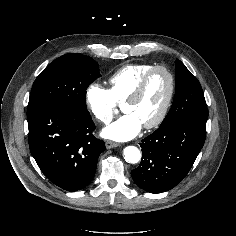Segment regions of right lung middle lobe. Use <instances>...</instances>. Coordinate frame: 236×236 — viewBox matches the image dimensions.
I'll return each mask as SVG.
<instances>
[{
    "label": "right lung middle lobe",
    "instance_id": "dd1d6c3e",
    "mask_svg": "<svg viewBox=\"0 0 236 236\" xmlns=\"http://www.w3.org/2000/svg\"><path fill=\"white\" fill-rule=\"evenodd\" d=\"M100 76L98 64L92 58L77 53L65 54L38 75L28 109L48 105L87 110L86 89Z\"/></svg>",
    "mask_w": 236,
    "mask_h": 236
}]
</instances>
